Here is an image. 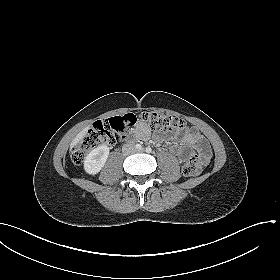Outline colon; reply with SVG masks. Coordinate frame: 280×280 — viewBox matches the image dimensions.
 <instances>
[{
  "mask_svg": "<svg viewBox=\"0 0 280 280\" xmlns=\"http://www.w3.org/2000/svg\"><path fill=\"white\" fill-rule=\"evenodd\" d=\"M138 118L154 131H177L185 127V121L180 117L158 112H142L139 116L127 114L122 117L99 120L74 144L72 148L73 162L81 163L86 154L97 146H113L122 142ZM209 155V151L191 154L182 166L183 174L189 177L199 175L208 162Z\"/></svg>",
  "mask_w": 280,
  "mask_h": 280,
  "instance_id": "1",
  "label": "colon"
}]
</instances>
